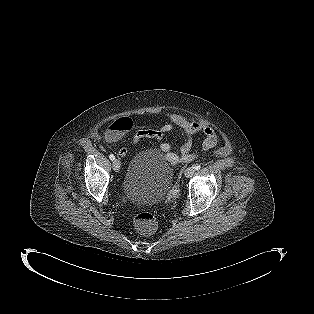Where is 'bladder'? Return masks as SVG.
Returning a JSON list of instances; mask_svg holds the SVG:
<instances>
[{"mask_svg": "<svg viewBox=\"0 0 314 314\" xmlns=\"http://www.w3.org/2000/svg\"><path fill=\"white\" fill-rule=\"evenodd\" d=\"M174 178V165L154 149L138 152L131 160L123 194L134 205H156Z\"/></svg>", "mask_w": 314, "mask_h": 314, "instance_id": "obj_1", "label": "bladder"}]
</instances>
